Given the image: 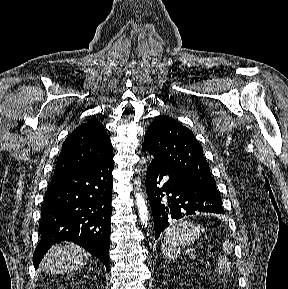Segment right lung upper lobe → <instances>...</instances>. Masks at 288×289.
<instances>
[{
    "label": "right lung upper lobe",
    "instance_id": "right-lung-upper-lobe-1",
    "mask_svg": "<svg viewBox=\"0 0 288 289\" xmlns=\"http://www.w3.org/2000/svg\"><path fill=\"white\" fill-rule=\"evenodd\" d=\"M113 156L110 138L103 125L91 119L77 127L64 141L55 173L88 168Z\"/></svg>",
    "mask_w": 288,
    "mask_h": 289
}]
</instances>
